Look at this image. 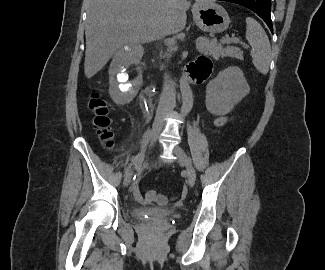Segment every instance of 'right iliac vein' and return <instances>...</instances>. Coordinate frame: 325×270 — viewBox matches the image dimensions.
<instances>
[{
    "instance_id": "obj_1",
    "label": "right iliac vein",
    "mask_w": 325,
    "mask_h": 270,
    "mask_svg": "<svg viewBox=\"0 0 325 270\" xmlns=\"http://www.w3.org/2000/svg\"><path fill=\"white\" fill-rule=\"evenodd\" d=\"M161 130H162V124H161L160 122H155V123L153 124L152 129H151L150 132H149V140H150V143H151V144H153V143L156 141V139H157V137H158V135H159V133H160ZM142 161H143V158H141V159H140V160L135 164V167H136V168L140 167ZM132 175H133V173H132V172H129V173L125 176V178H124V185H125V186H127V185L130 184L131 179H132Z\"/></svg>"
}]
</instances>
